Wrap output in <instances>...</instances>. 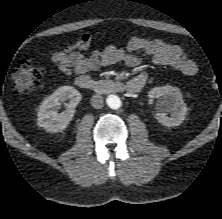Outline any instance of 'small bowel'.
Instances as JSON below:
<instances>
[{
    "label": "small bowel",
    "instance_id": "c3829d8e",
    "mask_svg": "<svg viewBox=\"0 0 222 219\" xmlns=\"http://www.w3.org/2000/svg\"><path fill=\"white\" fill-rule=\"evenodd\" d=\"M93 42L91 33H84L76 42L63 49L55 50L50 57L52 64L66 75H84L102 67L123 62L129 67L138 68L144 64V57H150L157 66H169L187 76L198 72L196 63L191 60L178 45L162 39L132 37L127 48L109 45L101 51L85 56ZM131 81L142 85L146 82L144 74H138Z\"/></svg>",
    "mask_w": 222,
    "mask_h": 219
}]
</instances>
